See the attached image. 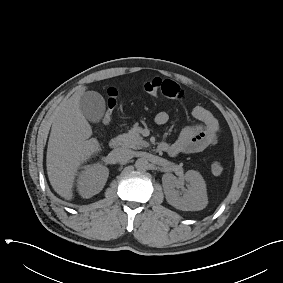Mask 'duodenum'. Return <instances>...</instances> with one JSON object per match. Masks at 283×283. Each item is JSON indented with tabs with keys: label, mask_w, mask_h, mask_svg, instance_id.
<instances>
[{
	"label": "duodenum",
	"mask_w": 283,
	"mask_h": 283,
	"mask_svg": "<svg viewBox=\"0 0 283 283\" xmlns=\"http://www.w3.org/2000/svg\"><path fill=\"white\" fill-rule=\"evenodd\" d=\"M109 146L112 149H116V148L120 147L121 146V139L119 137H115V138L111 139L110 142H109ZM158 149L160 151H163L165 149V145L163 143L159 144Z\"/></svg>",
	"instance_id": "410a0bca"
}]
</instances>
